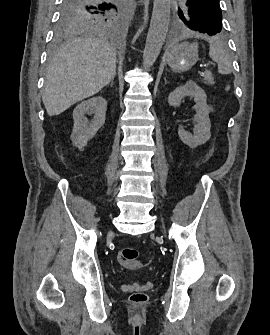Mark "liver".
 <instances>
[{
  "instance_id": "6515ba94",
  "label": "liver",
  "mask_w": 270,
  "mask_h": 335,
  "mask_svg": "<svg viewBox=\"0 0 270 335\" xmlns=\"http://www.w3.org/2000/svg\"><path fill=\"white\" fill-rule=\"evenodd\" d=\"M115 48L106 38H74L62 46L46 72L42 102L48 116L94 96L116 74Z\"/></svg>"
}]
</instances>
